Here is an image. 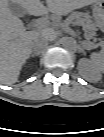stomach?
Wrapping results in <instances>:
<instances>
[{
  "mask_svg": "<svg viewBox=\"0 0 104 137\" xmlns=\"http://www.w3.org/2000/svg\"><path fill=\"white\" fill-rule=\"evenodd\" d=\"M102 1L103 0H99L93 5V14H94L95 18H99L103 12ZM87 44H88V42H86V45Z\"/></svg>",
  "mask_w": 104,
  "mask_h": 137,
  "instance_id": "0dacf381",
  "label": "stomach"
}]
</instances>
